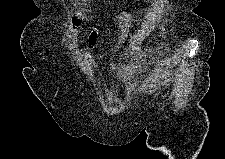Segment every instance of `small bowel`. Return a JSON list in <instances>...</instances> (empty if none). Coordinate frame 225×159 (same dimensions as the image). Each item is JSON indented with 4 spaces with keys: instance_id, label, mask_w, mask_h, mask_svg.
Masks as SVG:
<instances>
[{
    "instance_id": "1",
    "label": "small bowel",
    "mask_w": 225,
    "mask_h": 159,
    "mask_svg": "<svg viewBox=\"0 0 225 159\" xmlns=\"http://www.w3.org/2000/svg\"><path fill=\"white\" fill-rule=\"evenodd\" d=\"M116 19L119 23L120 26V33L117 38L116 43L112 46V48L105 53H99L97 54L98 59H106L107 57L111 56L113 53L116 52V50L119 48L120 44L129 36L130 34V29H131V17L130 14L127 13L126 11L120 10L116 14ZM80 23V17L77 13L73 14L70 25H69V32H68V37L65 40L64 44L68 45L70 42L72 36L74 35L77 27L79 26ZM99 27L93 28L88 36V46L90 48L94 47L98 41L99 37ZM142 40V35L138 34L132 38V41L129 45V52L132 53H139V44Z\"/></svg>"
}]
</instances>
